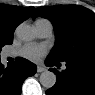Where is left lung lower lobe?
Masks as SVG:
<instances>
[{
  "label": "left lung lower lobe",
  "mask_w": 95,
  "mask_h": 95,
  "mask_svg": "<svg viewBox=\"0 0 95 95\" xmlns=\"http://www.w3.org/2000/svg\"><path fill=\"white\" fill-rule=\"evenodd\" d=\"M56 62L49 57L46 64L53 66ZM56 74V84L46 91L47 95H95V63L66 62V69L61 73L51 68Z\"/></svg>",
  "instance_id": "0a47b994"
}]
</instances>
